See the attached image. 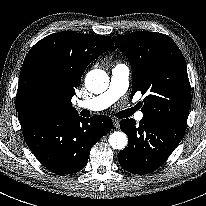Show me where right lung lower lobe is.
Returning <instances> with one entry per match:
<instances>
[{
  "label": "right lung lower lobe",
  "instance_id": "right-lung-lower-lobe-1",
  "mask_svg": "<svg viewBox=\"0 0 206 206\" xmlns=\"http://www.w3.org/2000/svg\"><path fill=\"white\" fill-rule=\"evenodd\" d=\"M104 115L89 119L78 114L23 131L29 149L51 172L58 175L80 171L88 162L92 146L112 128Z\"/></svg>",
  "mask_w": 206,
  "mask_h": 206
}]
</instances>
